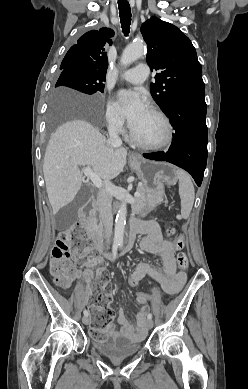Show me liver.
Instances as JSON below:
<instances>
[{
    "label": "liver",
    "mask_w": 248,
    "mask_h": 389,
    "mask_svg": "<svg viewBox=\"0 0 248 389\" xmlns=\"http://www.w3.org/2000/svg\"><path fill=\"white\" fill-rule=\"evenodd\" d=\"M54 98L68 105L92 103L90 98L68 89L57 90ZM126 157V148L111 146L85 120L68 121L58 127L48 142L43 163L53 214L71 203L79 192L84 179L81 166H91L101 179L109 181L123 171Z\"/></svg>",
    "instance_id": "obj_1"
}]
</instances>
